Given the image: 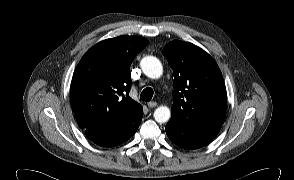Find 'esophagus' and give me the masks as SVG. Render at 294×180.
<instances>
[{
	"label": "esophagus",
	"mask_w": 294,
	"mask_h": 180,
	"mask_svg": "<svg viewBox=\"0 0 294 180\" xmlns=\"http://www.w3.org/2000/svg\"><path fill=\"white\" fill-rule=\"evenodd\" d=\"M147 106H148L149 108H154V107L157 106V103H156V102H149V103L147 104Z\"/></svg>",
	"instance_id": "1"
}]
</instances>
